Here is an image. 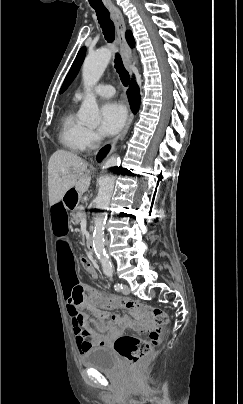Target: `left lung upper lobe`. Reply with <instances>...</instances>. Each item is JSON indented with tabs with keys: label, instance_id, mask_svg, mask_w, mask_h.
<instances>
[{
	"label": "left lung upper lobe",
	"instance_id": "1",
	"mask_svg": "<svg viewBox=\"0 0 243 404\" xmlns=\"http://www.w3.org/2000/svg\"><path fill=\"white\" fill-rule=\"evenodd\" d=\"M85 52H86L85 47H82L79 50V52H78V54H77V56H76V58H75V60H74V62L72 64V66H71V68H70V70H69V72H68V74H67V76H66V78H65V80L63 82V85L61 87L60 93L64 92L67 89V87L70 85L72 80L77 75V73H78V71L80 69V66H81V64H82V62L84 60Z\"/></svg>",
	"mask_w": 243,
	"mask_h": 404
}]
</instances>
